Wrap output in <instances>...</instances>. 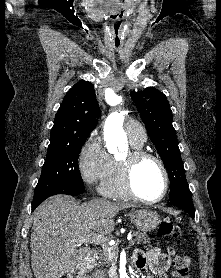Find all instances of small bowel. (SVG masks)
<instances>
[{
	"label": "small bowel",
	"mask_w": 221,
	"mask_h": 278,
	"mask_svg": "<svg viewBox=\"0 0 221 278\" xmlns=\"http://www.w3.org/2000/svg\"><path fill=\"white\" fill-rule=\"evenodd\" d=\"M133 259L137 269L150 272L147 278H168L167 270L172 259L171 253H162L158 248H153L146 253L136 251Z\"/></svg>",
	"instance_id": "small-bowel-1"
}]
</instances>
